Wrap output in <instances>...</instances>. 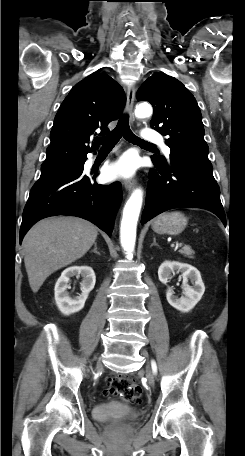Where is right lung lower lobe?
Returning a JSON list of instances; mask_svg holds the SVG:
<instances>
[{
	"label": "right lung lower lobe",
	"instance_id": "98d812e1",
	"mask_svg": "<svg viewBox=\"0 0 245 456\" xmlns=\"http://www.w3.org/2000/svg\"><path fill=\"white\" fill-rule=\"evenodd\" d=\"M86 159L74 171L40 176L23 211L20 242L38 220L54 215L87 219L111 236L122 187L119 182L109 186L92 182L83 174Z\"/></svg>",
	"mask_w": 245,
	"mask_h": 456
}]
</instances>
